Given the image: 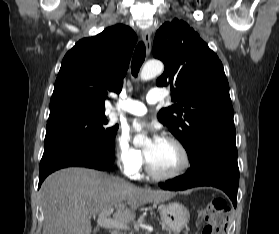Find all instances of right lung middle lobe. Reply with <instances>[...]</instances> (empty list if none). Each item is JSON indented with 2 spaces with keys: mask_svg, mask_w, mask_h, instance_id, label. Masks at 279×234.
<instances>
[{
  "mask_svg": "<svg viewBox=\"0 0 279 234\" xmlns=\"http://www.w3.org/2000/svg\"><path fill=\"white\" fill-rule=\"evenodd\" d=\"M105 110L68 107L50 111L45 148L67 142L84 143L105 158H115V136L118 126H110Z\"/></svg>",
  "mask_w": 279,
  "mask_h": 234,
  "instance_id": "right-lung-middle-lobe-1",
  "label": "right lung middle lobe"
}]
</instances>
